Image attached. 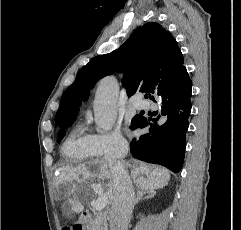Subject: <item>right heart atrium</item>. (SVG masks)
I'll return each instance as SVG.
<instances>
[{
  "instance_id": "d8ad5b80",
  "label": "right heart atrium",
  "mask_w": 241,
  "mask_h": 230,
  "mask_svg": "<svg viewBox=\"0 0 241 230\" xmlns=\"http://www.w3.org/2000/svg\"><path fill=\"white\" fill-rule=\"evenodd\" d=\"M91 147L97 156L117 157L125 154L128 142L117 131L97 133L89 135Z\"/></svg>"
}]
</instances>
